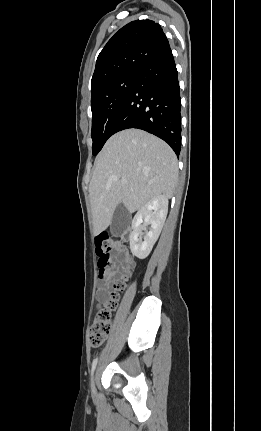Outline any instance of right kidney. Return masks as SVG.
I'll list each match as a JSON object with an SVG mask.
<instances>
[{"instance_id": "obj_1", "label": "right kidney", "mask_w": 261, "mask_h": 431, "mask_svg": "<svg viewBox=\"0 0 261 431\" xmlns=\"http://www.w3.org/2000/svg\"><path fill=\"white\" fill-rule=\"evenodd\" d=\"M168 213V198L159 195L148 201L135 215L129 236L130 249L139 259H145L157 241ZM150 225L142 241V230Z\"/></svg>"}]
</instances>
